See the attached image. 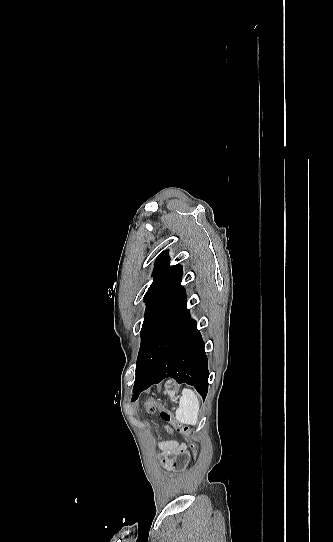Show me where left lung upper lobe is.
Returning a JSON list of instances; mask_svg holds the SVG:
<instances>
[{
    "label": "left lung upper lobe",
    "instance_id": "1",
    "mask_svg": "<svg viewBox=\"0 0 333 542\" xmlns=\"http://www.w3.org/2000/svg\"><path fill=\"white\" fill-rule=\"evenodd\" d=\"M168 250L163 251L155 261L153 282L144 296L146 310L141 329V344L136 363L139 371L145 353L157 332L186 300L185 289L181 285L182 265H169Z\"/></svg>",
    "mask_w": 333,
    "mask_h": 542
}]
</instances>
